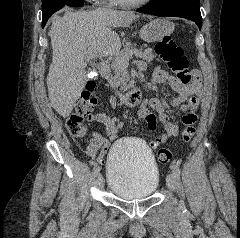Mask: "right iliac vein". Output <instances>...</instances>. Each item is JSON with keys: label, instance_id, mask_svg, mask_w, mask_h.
Masks as SVG:
<instances>
[{"label": "right iliac vein", "instance_id": "63e3f726", "mask_svg": "<svg viewBox=\"0 0 240 238\" xmlns=\"http://www.w3.org/2000/svg\"><path fill=\"white\" fill-rule=\"evenodd\" d=\"M96 184L98 186V188L102 189L104 187L105 181L102 175H98L97 179H96Z\"/></svg>", "mask_w": 240, "mask_h": 238}]
</instances>
